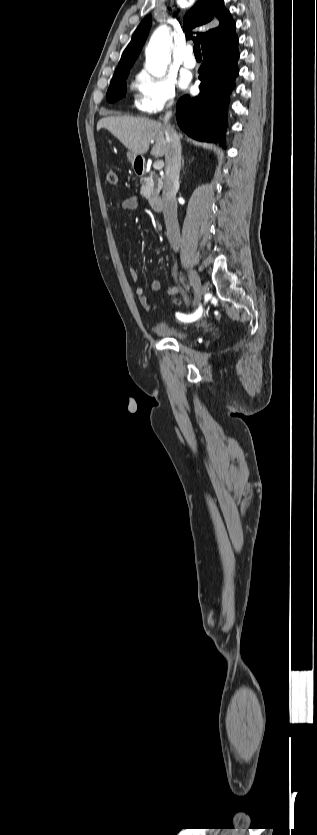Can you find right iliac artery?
I'll use <instances>...</instances> for the list:
<instances>
[{"instance_id": "82829eb1", "label": "right iliac artery", "mask_w": 317, "mask_h": 835, "mask_svg": "<svg viewBox=\"0 0 317 835\" xmlns=\"http://www.w3.org/2000/svg\"><path fill=\"white\" fill-rule=\"evenodd\" d=\"M202 311H203L202 307L199 306V308L196 310L195 313H193L191 315H188V316L184 315V314L177 313V317L179 319L186 320V321H194V320H197L201 316Z\"/></svg>"}]
</instances>
